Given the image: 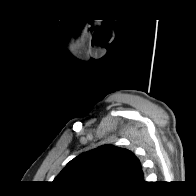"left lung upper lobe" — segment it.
Masks as SVG:
<instances>
[{"label":"left lung upper lobe","mask_w":196,"mask_h":196,"mask_svg":"<svg viewBox=\"0 0 196 196\" xmlns=\"http://www.w3.org/2000/svg\"><path fill=\"white\" fill-rule=\"evenodd\" d=\"M53 182L79 193H122L143 183V172L134 153L103 145L71 160Z\"/></svg>","instance_id":"5c2ea615"}]
</instances>
